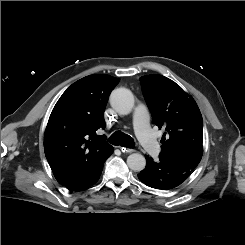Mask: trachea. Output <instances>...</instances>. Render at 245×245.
Returning <instances> with one entry per match:
<instances>
[{"mask_svg": "<svg viewBox=\"0 0 245 245\" xmlns=\"http://www.w3.org/2000/svg\"><path fill=\"white\" fill-rule=\"evenodd\" d=\"M108 142L115 146H122L126 148L134 147V140L127 134H124L121 131L114 132L108 139Z\"/></svg>", "mask_w": 245, "mask_h": 245, "instance_id": "3493384b", "label": "trachea"}]
</instances>
